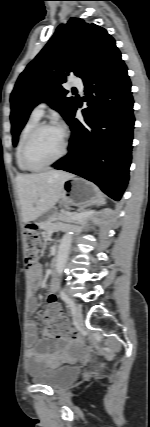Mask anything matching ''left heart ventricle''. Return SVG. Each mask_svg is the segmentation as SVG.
Segmentation results:
<instances>
[{"label":"left heart ventricle","instance_id":"left-heart-ventricle-1","mask_svg":"<svg viewBox=\"0 0 150 427\" xmlns=\"http://www.w3.org/2000/svg\"><path fill=\"white\" fill-rule=\"evenodd\" d=\"M64 135L60 129L47 128L39 131L28 147L27 159L32 166L44 165L62 151Z\"/></svg>","mask_w":150,"mask_h":427}]
</instances>
